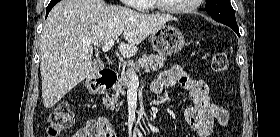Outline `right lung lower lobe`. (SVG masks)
I'll return each mask as SVG.
<instances>
[{
	"label": "right lung lower lobe",
	"mask_w": 280,
	"mask_h": 137,
	"mask_svg": "<svg viewBox=\"0 0 280 137\" xmlns=\"http://www.w3.org/2000/svg\"><path fill=\"white\" fill-rule=\"evenodd\" d=\"M60 0H51L47 9H46V17L49 14L50 10L53 8V6L58 3Z\"/></svg>",
	"instance_id": "1"
}]
</instances>
